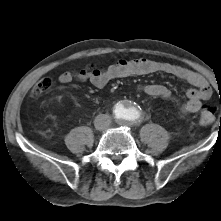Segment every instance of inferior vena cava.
I'll return each mask as SVG.
<instances>
[{"mask_svg":"<svg viewBox=\"0 0 221 221\" xmlns=\"http://www.w3.org/2000/svg\"><path fill=\"white\" fill-rule=\"evenodd\" d=\"M111 123L110 116L107 114H99L95 117L94 125L97 130H104L109 127Z\"/></svg>","mask_w":221,"mask_h":221,"instance_id":"602c4592","label":"inferior vena cava"}]
</instances>
